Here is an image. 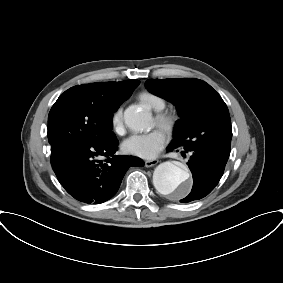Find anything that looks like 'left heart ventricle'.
<instances>
[{
	"instance_id": "b2bd125f",
	"label": "left heart ventricle",
	"mask_w": 283,
	"mask_h": 283,
	"mask_svg": "<svg viewBox=\"0 0 283 283\" xmlns=\"http://www.w3.org/2000/svg\"><path fill=\"white\" fill-rule=\"evenodd\" d=\"M154 125H156V122H155V120H154Z\"/></svg>"
}]
</instances>
